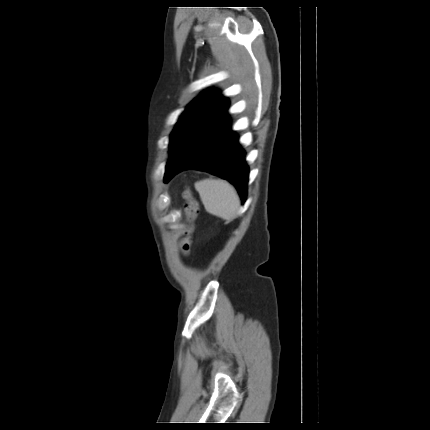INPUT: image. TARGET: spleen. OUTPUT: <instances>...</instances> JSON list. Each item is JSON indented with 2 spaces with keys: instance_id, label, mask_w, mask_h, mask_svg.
<instances>
[{
  "instance_id": "1",
  "label": "spleen",
  "mask_w": 430,
  "mask_h": 430,
  "mask_svg": "<svg viewBox=\"0 0 430 430\" xmlns=\"http://www.w3.org/2000/svg\"><path fill=\"white\" fill-rule=\"evenodd\" d=\"M194 185L206 211L212 215L227 218L232 216L239 206L234 188L225 181L202 180Z\"/></svg>"
}]
</instances>
